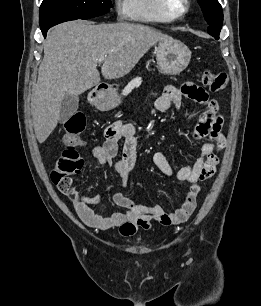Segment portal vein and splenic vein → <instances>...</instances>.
Listing matches in <instances>:
<instances>
[{
    "label": "portal vein and splenic vein",
    "mask_w": 261,
    "mask_h": 306,
    "mask_svg": "<svg viewBox=\"0 0 261 306\" xmlns=\"http://www.w3.org/2000/svg\"><path fill=\"white\" fill-rule=\"evenodd\" d=\"M104 62V58L103 57H100L99 59H97V63L101 64Z\"/></svg>",
    "instance_id": "1"
}]
</instances>
